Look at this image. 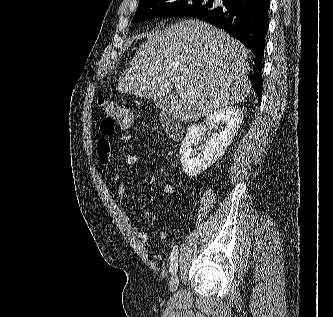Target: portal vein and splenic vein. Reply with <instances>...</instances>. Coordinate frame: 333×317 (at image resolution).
<instances>
[{
	"mask_svg": "<svg viewBox=\"0 0 333 317\" xmlns=\"http://www.w3.org/2000/svg\"><path fill=\"white\" fill-rule=\"evenodd\" d=\"M176 90H177V92H178V94H179V97H180V98H183L184 95H183V93H181V91H182V90H181V87H180V86H177V87H176Z\"/></svg>",
	"mask_w": 333,
	"mask_h": 317,
	"instance_id": "1",
	"label": "portal vein and splenic vein"
}]
</instances>
